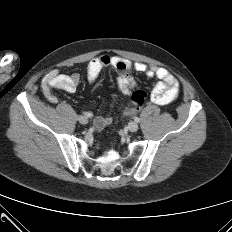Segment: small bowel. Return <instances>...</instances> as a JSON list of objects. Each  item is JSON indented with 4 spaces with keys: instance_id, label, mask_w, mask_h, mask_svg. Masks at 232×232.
Returning <instances> with one entry per match:
<instances>
[{
    "instance_id": "small-bowel-1",
    "label": "small bowel",
    "mask_w": 232,
    "mask_h": 232,
    "mask_svg": "<svg viewBox=\"0 0 232 232\" xmlns=\"http://www.w3.org/2000/svg\"><path fill=\"white\" fill-rule=\"evenodd\" d=\"M106 67H112L117 72L116 85L120 93L129 96L136 87L132 72L142 73L150 78L158 79V83L151 90V100L158 105L171 103L179 94V82L167 69L158 66H147L144 63H130L120 57L100 55L92 59L86 69V76L90 82H95L99 73ZM81 80L78 73L70 75L61 74L55 70L50 71L44 77L41 89L45 98L51 103H57L58 98L54 89L73 93ZM133 112V111H132ZM113 118L110 115L98 116L94 120V127L101 130L111 124Z\"/></svg>"
}]
</instances>
